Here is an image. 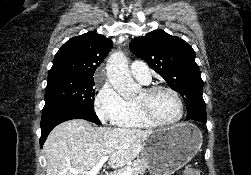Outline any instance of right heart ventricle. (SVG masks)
Segmentation results:
<instances>
[{"mask_svg": "<svg viewBox=\"0 0 251 175\" xmlns=\"http://www.w3.org/2000/svg\"><path fill=\"white\" fill-rule=\"evenodd\" d=\"M118 126L123 128H152L153 125L147 121L137 110L135 104H129L127 115L120 121Z\"/></svg>", "mask_w": 251, "mask_h": 175, "instance_id": "obj_1", "label": "right heart ventricle"}]
</instances>
